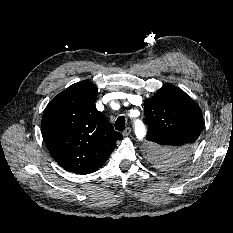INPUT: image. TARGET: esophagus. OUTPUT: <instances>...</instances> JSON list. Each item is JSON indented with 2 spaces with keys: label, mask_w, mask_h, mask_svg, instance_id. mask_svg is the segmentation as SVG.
<instances>
[{
  "label": "esophagus",
  "mask_w": 233,
  "mask_h": 233,
  "mask_svg": "<svg viewBox=\"0 0 233 233\" xmlns=\"http://www.w3.org/2000/svg\"><path fill=\"white\" fill-rule=\"evenodd\" d=\"M131 133V128L130 127H127L124 131H123V136L127 137L129 136Z\"/></svg>",
  "instance_id": "esophagus-1"
}]
</instances>
